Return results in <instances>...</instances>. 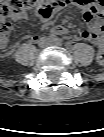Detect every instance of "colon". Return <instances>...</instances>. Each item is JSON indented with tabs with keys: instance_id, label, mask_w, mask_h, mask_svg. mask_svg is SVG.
<instances>
[{
	"instance_id": "obj_1",
	"label": "colon",
	"mask_w": 104,
	"mask_h": 137,
	"mask_svg": "<svg viewBox=\"0 0 104 137\" xmlns=\"http://www.w3.org/2000/svg\"><path fill=\"white\" fill-rule=\"evenodd\" d=\"M73 0H5L0 6V34H8L11 29L10 21L34 11L44 19L49 18L60 6ZM101 6L103 0H95Z\"/></svg>"
}]
</instances>
